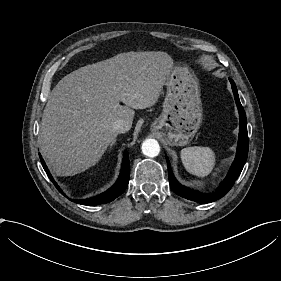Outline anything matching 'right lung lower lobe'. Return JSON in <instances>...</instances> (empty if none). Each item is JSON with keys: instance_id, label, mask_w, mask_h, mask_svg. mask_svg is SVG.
<instances>
[{"instance_id": "obj_1", "label": "right lung lower lobe", "mask_w": 281, "mask_h": 281, "mask_svg": "<svg viewBox=\"0 0 281 281\" xmlns=\"http://www.w3.org/2000/svg\"><path fill=\"white\" fill-rule=\"evenodd\" d=\"M39 157H40L41 163L43 165V168L46 171L50 180L53 182V184L58 189V191L61 194L65 195L63 193V191L59 188L57 183L54 181L53 177L51 176V174L40 154H39ZM129 176H130V163L128 160V153L125 152L119 178L117 179L116 183L110 189H108L104 193L97 195L95 197H92V198L81 199V200H72V201L75 203H78V204H82V205H100V204L111 202L115 198L120 196L123 193V191L126 189L128 182H129Z\"/></svg>"}]
</instances>
